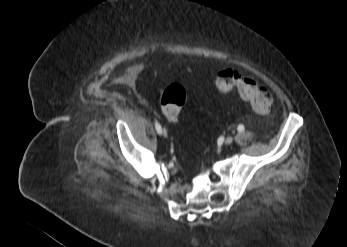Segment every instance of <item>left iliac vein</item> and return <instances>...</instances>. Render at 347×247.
<instances>
[{"mask_svg": "<svg viewBox=\"0 0 347 247\" xmlns=\"http://www.w3.org/2000/svg\"><path fill=\"white\" fill-rule=\"evenodd\" d=\"M232 142H233V138L231 136H229L225 139V144H227V145L231 144Z\"/></svg>", "mask_w": 347, "mask_h": 247, "instance_id": "1", "label": "left iliac vein"}]
</instances>
